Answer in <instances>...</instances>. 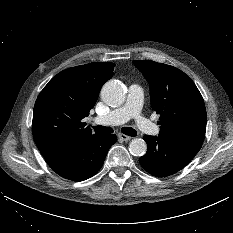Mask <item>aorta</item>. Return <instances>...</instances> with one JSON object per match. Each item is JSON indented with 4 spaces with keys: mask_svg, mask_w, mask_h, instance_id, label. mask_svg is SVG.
I'll return each mask as SVG.
<instances>
[{
    "mask_svg": "<svg viewBox=\"0 0 233 233\" xmlns=\"http://www.w3.org/2000/svg\"><path fill=\"white\" fill-rule=\"evenodd\" d=\"M101 98L109 106H119L124 103L126 95L121 82L112 80L106 82L101 89ZM129 151L134 156H143L147 151V144L141 138L131 140Z\"/></svg>",
    "mask_w": 233,
    "mask_h": 233,
    "instance_id": "762f6f07",
    "label": "aorta"
}]
</instances>
